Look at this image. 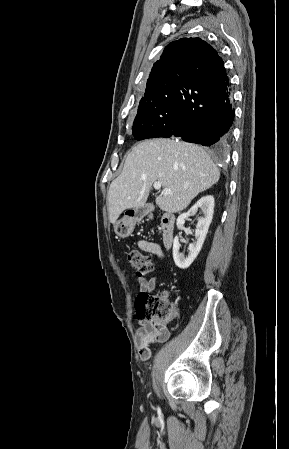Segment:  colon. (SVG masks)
Returning <instances> with one entry per match:
<instances>
[{"label":"colon","mask_w":289,"mask_h":449,"mask_svg":"<svg viewBox=\"0 0 289 449\" xmlns=\"http://www.w3.org/2000/svg\"><path fill=\"white\" fill-rule=\"evenodd\" d=\"M128 260L139 276L149 275L154 268L149 256L140 251H130ZM136 307L141 317H144L154 331L159 334L168 332L167 324L176 316V310L170 305L165 295L140 293Z\"/></svg>","instance_id":"1"}]
</instances>
